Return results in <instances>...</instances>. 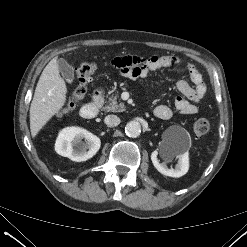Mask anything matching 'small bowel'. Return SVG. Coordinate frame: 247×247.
Here are the masks:
<instances>
[{"mask_svg": "<svg viewBox=\"0 0 247 247\" xmlns=\"http://www.w3.org/2000/svg\"><path fill=\"white\" fill-rule=\"evenodd\" d=\"M112 64L120 73L130 79L146 78L150 72L167 67H176L180 65V59L176 56H151L143 59L137 56L125 55L117 57ZM190 80L193 87L184 79L177 82V89L180 96L174 101L176 110L184 115L196 114L198 111L197 103L206 93V85L201 73L193 64L187 66ZM154 115L159 119L167 120L173 115L172 109L167 105H158L154 109Z\"/></svg>", "mask_w": 247, "mask_h": 247, "instance_id": "1", "label": "small bowel"}]
</instances>
